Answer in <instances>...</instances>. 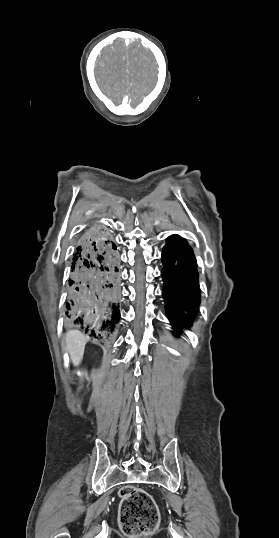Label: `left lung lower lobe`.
<instances>
[{
	"label": "left lung lower lobe",
	"mask_w": 279,
	"mask_h": 538,
	"mask_svg": "<svg viewBox=\"0 0 279 538\" xmlns=\"http://www.w3.org/2000/svg\"><path fill=\"white\" fill-rule=\"evenodd\" d=\"M162 263L166 315L178 331L191 326L198 311L200 292L196 259L185 239L172 235L163 248Z\"/></svg>",
	"instance_id": "left-lung-lower-lobe-1"
}]
</instances>
